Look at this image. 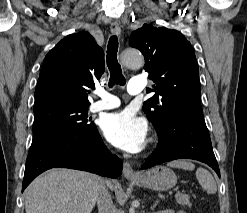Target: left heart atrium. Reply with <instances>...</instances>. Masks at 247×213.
Wrapping results in <instances>:
<instances>
[{
    "label": "left heart atrium",
    "instance_id": "obj_1",
    "mask_svg": "<svg viewBox=\"0 0 247 213\" xmlns=\"http://www.w3.org/2000/svg\"><path fill=\"white\" fill-rule=\"evenodd\" d=\"M100 128L112 145L124 151L137 153L145 147L147 123L130 110L105 115Z\"/></svg>",
    "mask_w": 247,
    "mask_h": 213
}]
</instances>
